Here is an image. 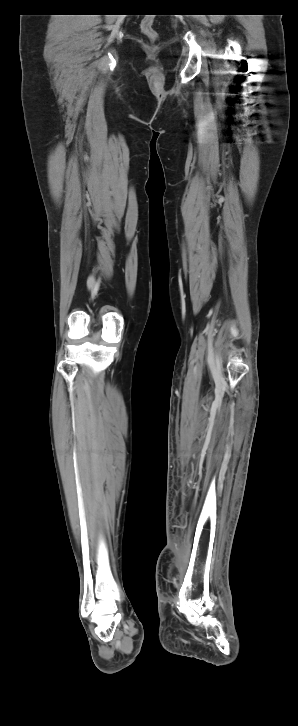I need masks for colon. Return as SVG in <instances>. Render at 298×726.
I'll list each match as a JSON object with an SVG mask.
<instances>
[{
    "instance_id": "obj_1",
    "label": "colon",
    "mask_w": 298,
    "mask_h": 726,
    "mask_svg": "<svg viewBox=\"0 0 298 726\" xmlns=\"http://www.w3.org/2000/svg\"><path fill=\"white\" fill-rule=\"evenodd\" d=\"M153 24L154 19L152 16H149L144 18L140 25L142 33L152 40L157 38V32L154 29Z\"/></svg>"
}]
</instances>
